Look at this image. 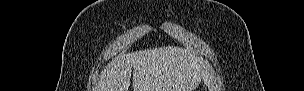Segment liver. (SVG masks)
I'll use <instances>...</instances> for the list:
<instances>
[{"instance_id":"obj_1","label":"liver","mask_w":304,"mask_h":91,"mask_svg":"<svg viewBox=\"0 0 304 91\" xmlns=\"http://www.w3.org/2000/svg\"><path fill=\"white\" fill-rule=\"evenodd\" d=\"M194 91L205 76L202 58L190 50L159 47L120 54L102 72L96 91Z\"/></svg>"}]
</instances>
